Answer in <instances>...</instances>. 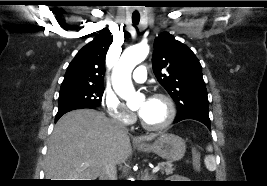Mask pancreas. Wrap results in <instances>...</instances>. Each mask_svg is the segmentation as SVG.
<instances>
[{"label": "pancreas", "instance_id": "cf45deb5", "mask_svg": "<svg viewBox=\"0 0 267 186\" xmlns=\"http://www.w3.org/2000/svg\"><path fill=\"white\" fill-rule=\"evenodd\" d=\"M159 166L161 167L162 174L170 175L173 173L174 168L173 164L171 162H161L159 163Z\"/></svg>", "mask_w": 267, "mask_h": 186}]
</instances>
